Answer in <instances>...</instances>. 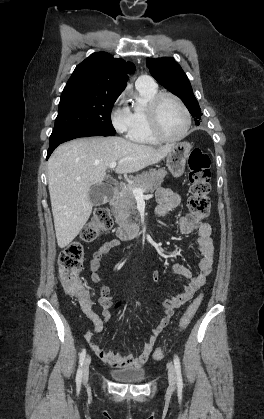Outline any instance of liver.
Listing matches in <instances>:
<instances>
[{
	"instance_id": "liver-1",
	"label": "liver",
	"mask_w": 264,
	"mask_h": 419,
	"mask_svg": "<svg viewBox=\"0 0 264 419\" xmlns=\"http://www.w3.org/2000/svg\"><path fill=\"white\" fill-rule=\"evenodd\" d=\"M171 148L170 144L154 148L116 136L80 138L60 145L48 161L58 246H68L88 221L93 208L91 186L102 183L112 162H118L116 173H133L160 162Z\"/></svg>"
}]
</instances>
